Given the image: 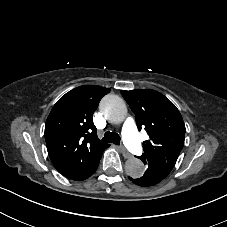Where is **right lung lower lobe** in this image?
<instances>
[{"mask_svg":"<svg viewBox=\"0 0 227 227\" xmlns=\"http://www.w3.org/2000/svg\"><path fill=\"white\" fill-rule=\"evenodd\" d=\"M103 153V152H102ZM102 153L94 157H77L70 165L56 168L62 175L73 180H85L90 177L97 169ZM88 161L85 166H82V162Z\"/></svg>","mask_w":227,"mask_h":227,"instance_id":"right-lung-lower-lobe-1","label":"right lung lower lobe"}]
</instances>
